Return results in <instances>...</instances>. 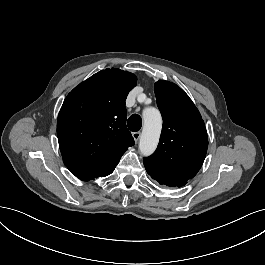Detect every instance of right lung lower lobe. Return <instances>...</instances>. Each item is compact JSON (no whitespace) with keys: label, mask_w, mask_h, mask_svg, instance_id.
Segmentation results:
<instances>
[{"label":"right lung lower lobe","mask_w":265,"mask_h":265,"mask_svg":"<svg viewBox=\"0 0 265 265\" xmlns=\"http://www.w3.org/2000/svg\"><path fill=\"white\" fill-rule=\"evenodd\" d=\"M69 169V168H68ZM77 178L83 180V181H89L93 180L98 177L109 175L110 173H100L99 171L94 170H86V169H78V168H71L69 169ZM113 172V171H112ZM111 172V173H112Z\"/></svg>","instance_id":"98d812e1"}]
</instances>
